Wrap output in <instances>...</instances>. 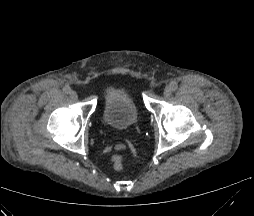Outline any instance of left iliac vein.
<instances>
[{"instance_id": "1", "label": "left iliac vein", "mask_w": 254, "mask_h": 216, "mask_svg": "<svg viewBox=\"0 0 254 216\" xmlns=\"http://www.w3.org/2000/svg\"><path fill=\"white\" fill-rule=\"evenodd\" d=\"M163 94L165 97H169L171 95V89L170 87H165L163 90Z\"/></svg>"}]
</instances>
